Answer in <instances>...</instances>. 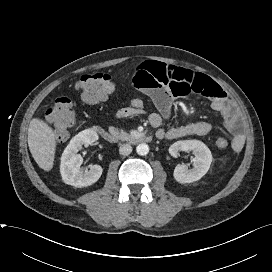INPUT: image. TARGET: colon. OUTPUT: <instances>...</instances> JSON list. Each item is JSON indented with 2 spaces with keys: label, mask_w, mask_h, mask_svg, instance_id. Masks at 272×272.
<instances>
[{
  "label": "colon",
  "mask_w": 272,
  "mask_h": 272,
  "mask_svg": "<svg viewBox=\"0 0 272 272\" xmlns=\"http://www.w3.org/2000/svg\"><path fill=\"white\" fill-rule=\"evenodd\" d=\"M76 88L85 102L95 103L105 100L114 91L115 85L109 74L95 71L82 75L76 82ZM129 106L143 110L144 102L140 98H133ZM46 117L58 138H64L69 129L77 123V114L68 93L58 94L55 102L48 109ZM215 145L219 149H225L229 146V142L224 137H218Z\"/></svg>",
  "instance_id": "colon-1"
}]
</instances>
